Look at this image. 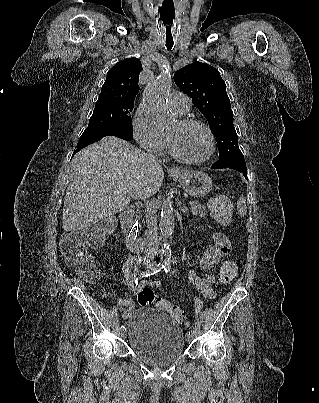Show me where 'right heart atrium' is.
<instances>
[{"label":"right heart atrium","mask_w":319,"mask_h":403,"mask_svg":"<svg viewBox=\"0 0 319 403\" xmlns=\"http://www.w3.org/2000/svg\"><path fill=\"white\" fill-rule=\"evenodd\" d=\"M132 131L136 142L151 154H161L167 145L165 137L158 131L143 107L132 117Z\"/></svg>","instance_id":"obj_1"}]
</instances>
